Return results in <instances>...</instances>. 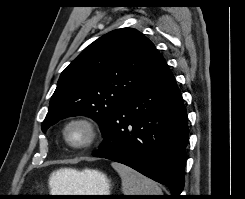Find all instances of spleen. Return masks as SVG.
<instances>
[{
	"mask_svg": "<svg viewBox=\"0 0 245 199\" xmlns=\"http://www.w3.org/2000/svg\"><path fill=\"white\" fill-rule=\"evenodd\" d=\"M111 165L121 177L124 195H163L156 182L134 169L116 162Z\"/></svg>",
	"mask_w": 245,
	"mask_h": 199,
	"instance_id": "1",
	"label": "spleen"
}]
</instances>
